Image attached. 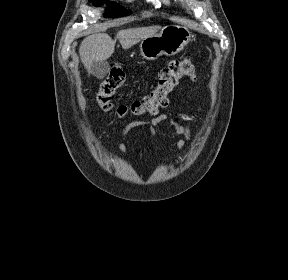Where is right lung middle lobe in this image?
<instances>
[{
  "label": "right lung middle lobe",
  "mask_w": 288,
  "mask_h": 280,
  "mask_svg": "<svg viewBox=\"0 0 288 280\" xmlns=\"http://www.w3.org/2000/svg\"><path fill=\"white\" fill-rule=\"evenodd\" d=\"M90 2L93 3L94 6H99L102 4V2H106V0H89ZM107 4L109 5V8H106L105 13H104V17H121V16H126L131 14L130 10H126L125 8H122L119 5L113 4V3H109L107 2Z\"/></svg>",
  "instance_id": "right-lung-middle-lobe-1"
}]
</instances>
